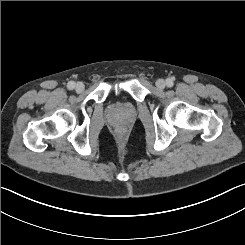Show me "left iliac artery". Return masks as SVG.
Masks as SVG:
<instances>
[{
	"label": "left iliac artery",
	"instance_id": "left-iliac-artery-1",
	"mask_svg": "<svg viewBox=\"0 0 245 245\" xmlns=\"http://www.w3.org/2000/svg\"><path fill=\"white\" fill-rule=\"evenodd\" d=\"M166 84H167L168 87H172L173 86V80H172V78L167 79L166 80Z\"/></svg>",
	"mask_w": 245,
	"mask_h": 245
}]
</instances>
